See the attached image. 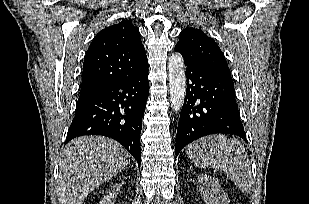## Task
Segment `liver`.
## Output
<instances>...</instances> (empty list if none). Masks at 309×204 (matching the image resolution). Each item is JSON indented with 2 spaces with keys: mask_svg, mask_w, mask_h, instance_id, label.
<instances>
[{
  "mask_svg": "<svg viewBox=\"0 0 309 204\" xmlns=\"http://www.w3.org/2000/svg\"><path fill=\"white\" fill-rule=\"evenodd\" d=\"M129 162V153L112 139L91 135L72 140L60 156L59 204H83L94 189L118 174Z\"/></svg>",
  "mask_w": 309,
  "mask_h": 204,
  "instance_id": "liver-1",
  "label": "liver"
}]
</instances>
